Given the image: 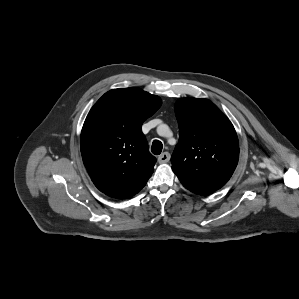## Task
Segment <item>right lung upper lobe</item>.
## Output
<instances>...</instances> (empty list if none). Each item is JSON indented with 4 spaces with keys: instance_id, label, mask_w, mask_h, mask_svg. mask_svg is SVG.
I'll return each instance as SVG.
<instances>
[{
    "instance_id": "obj_1",
    "label": "right lung upper lobe",
    "mask_w": 299,
    "mask_h": 299,
    "mask_svg": "<svg viewBox=\"0 0 299 299\" xmlns=\"http://www.w3.org/2000/svg\"><path fill=\"white\" fill-rule=\"evenodd\" d=\"M161 99L139 88L112 89L91 108L81 132L83 163L95 186L114 198L137 194L151 177L156 158L141 131Z\"/></svg>"
}]
</instances>
